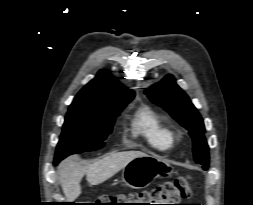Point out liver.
Here are the masks:
<instances>
[{"instance_id": "obj_1", "label": "liver", "mask_w": 253, "mask_h": 205, "mask_svg": "<svg viewBox=\"0 0 253 205\" xmlns=\"http://www.w3.org/2000/svg\"><path fill=\"white\" fill-rule=\"evenodd\" d=\"M140 151H125L109 154L102 159L83 166L75 157H68L59 165V180L68 202L81 194L80 181L86 174L91 185H98L123 169L134 158L145 156Z\"/></svg>"}]
</instances>
